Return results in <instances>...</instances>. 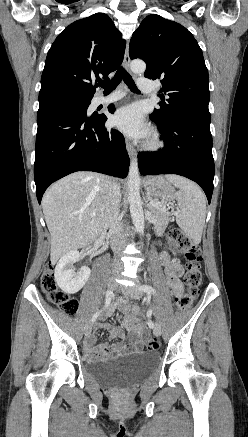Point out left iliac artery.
I'll use <instances>...</instances> for the list:
<instances>
[{"mask_svg": "<svg viewBox=\"0 0 248 437\" xmlns=\"http://www.w3.org/2000/svg\"><path fill=\"white\" fill-rule=\"evenodd\" d=\"M139 290H141V291H143V292H145V293H147V294H153V295H155V293H156V292H155V289H154L153 287L149 286V285H142V286L139 287ZM152 312H153L152 309H150V310L148 311V317H151ZM148 325H149L150 328H154V326H155V324L153 323L152 320H149V321H148Z\"/></svg>", "mask_w": 248, "mask_h": 437, "instance_id": "44dca946", "label": "left iliac artery"}]
</instances>
